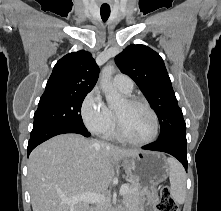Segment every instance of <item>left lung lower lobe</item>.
<instances>
[{
    "label": "left lung lower lobe",
    "mask_w": 221,
    "mask_h": 211,
    "mask_svg": "<svg viewBox=\"0 0 221 211\" xmlns=\"http://www.w3.org/2000/svg\"><path fill=\"white\" fill-rule=\"evenodd\" d=\"M142 148L145 150L168 153L177 158L187 170L188 163L186 132H180L166 136Z\"/></svg>",
    "instance_id": "1"
}]
</instances>
